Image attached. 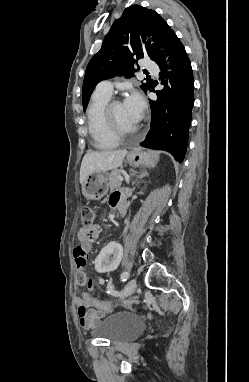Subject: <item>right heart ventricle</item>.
I'll use <instances>...</instances> for the list:
<instances>
[{"instance_id": "1", "label": "right heart ventricle", "mask_w": 249, "mask_h": 382, "mask_svg": "<svg viewBox=\"0 0 249 382\" xmlns=\"http://www.w3.org/2000/svg\"><path fill=\"white\" fill-rule=\"evenodd\" d=\"M110 98V95L95 91L87 109L88 130L92 144L99 150L113 149L119 141L111 135L104 121V109Z\"/></svg>"}]
</instances>
